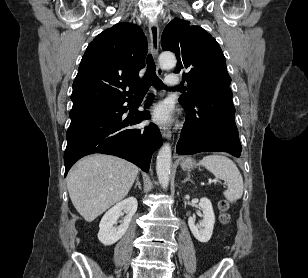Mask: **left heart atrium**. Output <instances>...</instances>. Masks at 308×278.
<instances>
[{"mask_svg":"<svg viewBox=\"0 0 308 278\" xmlns=\"http://www.w3.org/2000/svg\"><path fill=\"white\" fill-rule=\"evenodd\" d=\"M152 119L160 124H165L172 119V110L168 103L161 102L152 111Z\"/></svg>","mask_w":308,"mask_h":278,"instance_id":"1","label":"left heart atrium"}]
</instances>
